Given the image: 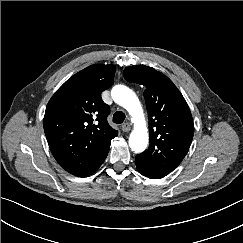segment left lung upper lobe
<instances>
[{"mask_svg": "<svg viewBox=\"0 0 243 243\" xmlns=\"http://www.w3.org/2000/svg\"><path fill=\"white\" fill-rule=\"evenodd\" d=\"M123 75L128 82L146 87L150 145L135 157V163L167 175L182 162L190 148L194 135L190 109L174 83L154 68L130 66Z\"/></svg>", "mask_w": 243, "mask_h": 243, "instance_id": "left-lung-upper-lobe-1", "label": "left lung upper lobe"}]
</instances>
